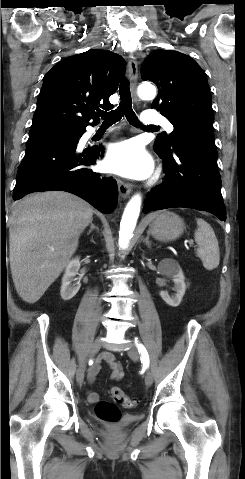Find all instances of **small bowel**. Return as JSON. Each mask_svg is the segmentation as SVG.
<instances>
[{
  "instance_id": "obj_1",
  "label": "small bowel",
  "mask_w": 245,
  "mask_h": 479,
  "mask_svg": "<svg viewBox=\"0 0 245 479\" xmlns=\"http://www.w3.org/2000/svg\"><path fill=\"white\" fill-rule=\"evenodd\" d=\"M100 362L107 364L111 368V379L120 380L124 377V370L121 364L115 360L114 356L110 353H103L100 358ZM101 367L100 363L94 364L89 371V381L92 382L96 375L99 373ZM89 402L93 403L98 400V394L95 392H89L88 395Z\"/></svg>"
}]
</instances>
